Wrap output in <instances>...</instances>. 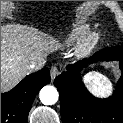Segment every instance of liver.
Returning a JSON list of instances; mask_svg holds the SVG:
<instances>
[{
    "label": "liver",
    "instance_id": "1",
    "mask_svg": "<svg viewBox=\"0 0 123 123\" xmlns=\"http://www.w3.org/2000/svg\"><path fill=\"white\" fill-rule=\"evenodd\" d=\"M59 44L34 27L19 23L1 25V92L18 84L30 71L27 65L45 60Z\"/></svg>",
    "mask_w": 123,
    "mask_h": 123
}]
</instances>
